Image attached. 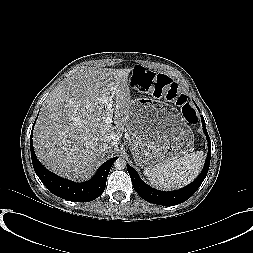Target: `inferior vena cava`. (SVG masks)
<instances>
[{
	"label": "inferior vena cava",
	"instance_id": "1",
	"mask_svg": "<svg viewBox=\"0 0 253 253\" xmlns=\"http://www.w3.org/2000/svg\"><path fill=\"white\" fill-rule=\"evenodd\" d=\"M102 148H103L104 151H106L107 149L110 148V145H109L108 143H104V144L102 145Z\"/></svg>",
	"mask_w": 253,
	"mask_h": 253
}]
</instances>
